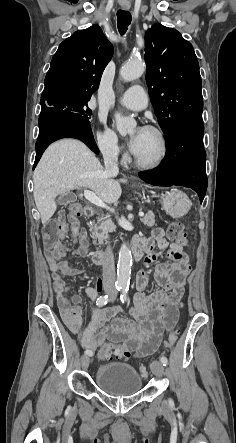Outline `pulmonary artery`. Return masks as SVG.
<instances>
[{"label":"pulmonary artery","instance_id":"pulmonary-artery-1","mask_svg":"<svg viewBox=\"0 0 236 443\" xmlns=\"http://www.w3.org/2000/svg\"><path fill=\"white\" fill-rule=\"evenodd\" d=\"M119 102L129 109L141 110L147 106L148 99L141 86H133L123 93Z\"/></svg>","mask_w":236,"mask_h":443}]
</instances>
